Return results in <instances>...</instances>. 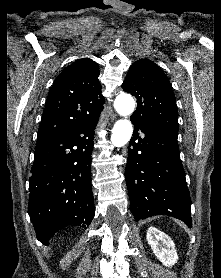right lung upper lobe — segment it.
Wrapping results in <instances>:
<instances>
[{
	"label": "right lung upper lobe",
	"instance_id": "right-lung-upper-lobe-1",
	"mask_svg": "<svg viewBox=\"0 0 221 278\" xmlns=\"http://www.w3.org/2000/svg\"><path fill=\"white\" fill-rule=\"evenodd\" d=\"M96 62L78 59L55 79L38 130L36 147L59 136L74 125L99 117L104 97Z\"/></svg>",
	"mask_w": 221,
	"mask_h": 278
}]
</instances>
